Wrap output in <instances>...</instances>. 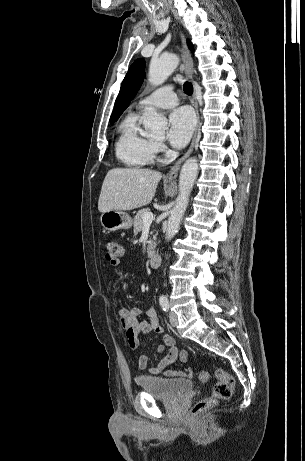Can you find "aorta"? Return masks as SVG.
Here are the masks:
<instances>
[{"instance_id": "762f6f07", "label": "aorta", "mask_w": 305, "mask_h": 461, "mask_svg": "<svg viewBox=\"0 0 305 461\" xmlns=\"http://www.w3.org/2000/svg\"><path fill=\"white\" fill-rule=\"evenodd\" d=\"M179 62L175 54H165L152 60L149 66L148 80L153 85L162 84L174 71ZM146 131L153 137H163L167 126L164 116L153 109H148L143 115ZM198 175V161L189 158L182 166L179 176V194L168 219L165 238L171 240L178 232L181 219L186 211L193 184Z\"/></svg>"}]
</instances>
